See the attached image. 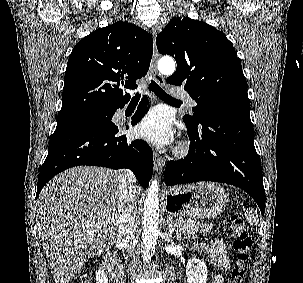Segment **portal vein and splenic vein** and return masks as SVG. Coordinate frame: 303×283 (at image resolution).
I'll list each match as a JSON object with an SVG mask.
<instances>
[{
    "instance_id": "portal-vein-and-splenic-vein-1",
    "label": "portal vein and splenic vein",
    "mask_w": 303,
    "mask_h": 283,
    "mask_svg": "<svg viewBox=\"0 0 303 283\" xmlns=\"http://www.w3.org/2000/svg\"><path fill=\"white\" fill-rule=\"evenodd\" d=\"M175 226H179V224H178V223H175Z\"/></svg>"
}]
</instances>
